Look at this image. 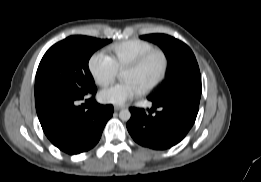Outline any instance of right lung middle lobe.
I'll return each instance as SVG.
<instances>
[{"mask_svg": "<svg viewBox=\"0 0 261 182\" xmlns=\"http://www.w3.org/2000/svg\"><path fill=\"white\" fill-rule=\"evenodd\" d=\"M111 41L77 35L50 47L36 73L35 98L54 91L75 98L94 94L97 89L88 69V61L97 49Z\"/></svg>", "mask_w": 261, "mask_h": 182, "instance_id": "obj_1", "label": "right lung middle lobe"}]
</instances>
